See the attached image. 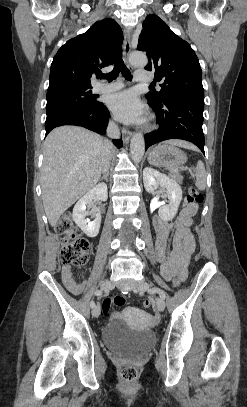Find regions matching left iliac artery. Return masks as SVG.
I'll return each instance as SVG.
<instances>
[{"label":"left iliac artery","mask_w":247,"mask_h":407,"mask_svg":"<svg viewBox=\"0 0 247 407\" xmlns=\"http://www.w3.org/2000/svg\"><path fill=\"white\" fill-rule=\"evenodd\" d=\"M151 292H157V293L160 295V297H161L162 299H165V293H164L163 290H161V289H159V288H153V289L151 290Z\"/></svg>","instance_id":"obj_1"}]
</instances>
